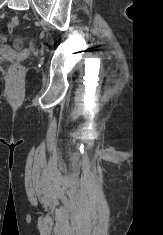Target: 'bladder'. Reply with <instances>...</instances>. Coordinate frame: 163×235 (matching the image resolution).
Returning <instances> with one entry per match:
<instances>
[{"label":"bladder","instance_id":"1","mask_svg":"<svg viewBox=\"0 0 163 235\" xmlns=\"http://www.w3.org/2000/svg\"><path fill=\"white\" fill-rule=\"evenodd\" d=\"M16 45H17V46H19V45H21V43H20V42H18V43H16Z\"/></svg>","mask_w":163,"mask_h":235}]
</instances>
